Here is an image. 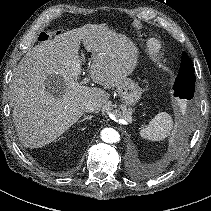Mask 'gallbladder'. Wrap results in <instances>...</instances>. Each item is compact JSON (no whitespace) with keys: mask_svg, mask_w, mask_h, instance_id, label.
Listing matches in <instances>:
<instances>
[{"mask_svg":"<svg viewBox=\"0 0 211 211\" xmlns=\"http://www.w3.org/2000/svg\"><path fill=\"white\" fill-rule=\"evenodd\" d=\"M56 85L63 86L62 78L57 75L49 76L48 80L46 81V88L51 94H53L55 96L62 93V92L56 90Z\"/></svg>","mask_w":211,"mask_h":211,"instance_id":"gallbladder-1","label":"gallbladder"}]
</instances>
